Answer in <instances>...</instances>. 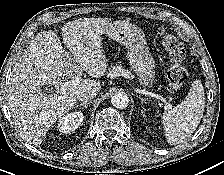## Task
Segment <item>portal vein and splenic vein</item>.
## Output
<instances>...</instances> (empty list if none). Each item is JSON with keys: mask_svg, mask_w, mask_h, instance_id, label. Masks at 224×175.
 Segmentation results:
<instances>
[{"mask_svg": "<svg viewBox=\"0 0 224 175\" xmlns=\"http://www.w3.org/2000/svg\"><path fill=\"white\" fill-rule=\"evenodd\" d=\"M80 82V78L79 77H75L73 80L68 81V82H61L59 85H57V87H60L62 89L71 86V85H77ZM158 97V96H157ZM162 101L166 102V100L164 98H160ZM167 103V107L168 109L172 108V105L169 102Z\"/></svg>", "mask_w": 224, "mask_h": 175, "instance_id": "obj_1", "label": "portal vein and splenic vein"}]
</instances>
